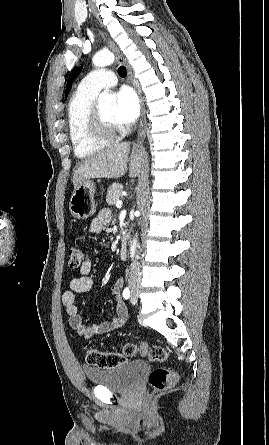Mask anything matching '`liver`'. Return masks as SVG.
<instances>
[{
  "instance_id": "6515ba94",
  "label": "liver",
  "mask_w": 269,
  "mask_h": 445,
  "mask_svg": "<svg viewBox=\"0 0 269 445\" xmlns=\"http://www.w3.org/2000/svg\"><path fill=\"white\" fill-rule=\"evenodd\" d=\"M130 145L127 142L114 144L84 160L74 171L73 185L76 189L83 181L91 178H119L122 177L128 167V155ZM146 162V153L143 149L133 147L129 176H139L142 165Z\"/></svg>"
}]
</instances>
